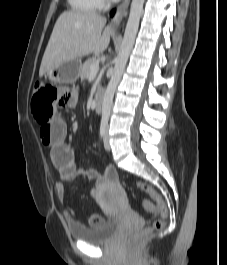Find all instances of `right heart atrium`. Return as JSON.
<instances>
[{
	"mask_svg": "<svg viewBox=\"0 0 227 265\" xmlns=\"http://www.w3.org/2000/svg\"><path fill=\"white\" fill-rule=\"evenodd\" d=\"M106 2V0H100L101 4H104Z\"/></svg>",
	"mask_w": 227,
	"mask_h": 265,
	"instance_id": "d8ad5b80",
	"label": "right heart atrium"
}]
</instances>
